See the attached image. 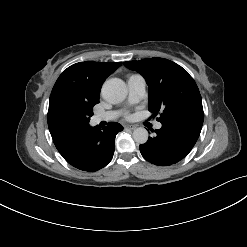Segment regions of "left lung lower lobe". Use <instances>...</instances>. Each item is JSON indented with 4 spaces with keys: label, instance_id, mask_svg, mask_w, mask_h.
<instances>
[{
    "label": "left lung lower lobe",
    "instance_id": "1",
    "mask_svg": "<svg viewBox=\"0 0 247 247\" xmlns=\"http://www.w3.org/2000/svg\"><path fill=\"white\" fill-rule=\"evenodd\" d=\"M200 125L170 121L162 123L155 137L139 146L142 156L158 166L172 165L183 159L194 147L200 132Z\"/></svg>",
    "mask_w": 247,
    "mask_h": 247
}]
</instances>
